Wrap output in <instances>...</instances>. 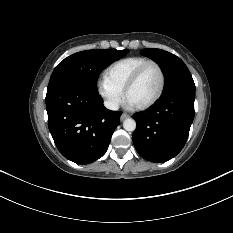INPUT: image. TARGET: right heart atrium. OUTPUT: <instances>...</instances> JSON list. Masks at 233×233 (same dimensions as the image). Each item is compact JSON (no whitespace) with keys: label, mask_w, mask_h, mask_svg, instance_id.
Masks as SVG:
<instances>
[{"label":"right heart atrium","mask_w":233,"mask_h":233,"mask_svg":"<svg viewBox=\"0 0 233 233\" xmlns=\"http://www.w3.org/2000/svg\"><path fill=\"white\" fill-rule=\"evenodd\" d=\"M97 91L105 106L110 110H116L124 99L123 91L105 77L97 81Z\"/></svg>","instance_id":"d8ad5b80"}]
</instances>
